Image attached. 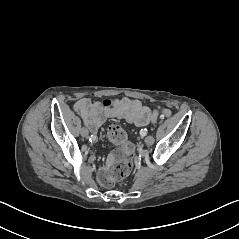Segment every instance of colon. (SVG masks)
<instances>
[{
	"instance_id": "colon-1",
	"label": "colon",
	"mask_w": 239,
	"mask_h": 239,
	"mask_svg": "<svg viewBox=\"0 0 239 239\" xmlns=\"http://www.w3.org/2000/svg\"><path fill=\"white\" fill-rule=\"evenodd\" d=\"M103 103H107V100ZM161 117L168 118L171 111L167 108L158 110ZM107 135L109 140L118 146L108 158L106 165L99 171L98 180L102 185L111 186L121 182L130 172L134 156V147L127 140V134L118 124L109 126Z\"/></svg>"
}]
</instances>
